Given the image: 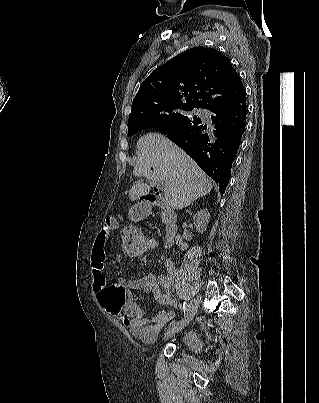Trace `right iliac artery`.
I'll use <instances>...</instances> for the list:
<instances>
[{
	"label": "right iliac artery",
	"mask_w": 319,
	"mask_h": 403,
	"mask_svg": "<svg viewBox=\"0 0 319 403\" xmlns=\"http://www.w3.org/2000/svg\"><path fill=\"white\" fill-rule=\"evenodd\" d=\"M188 308H189L188 304L186 302H184L183 303V312H184V314H186L188 312Z\"/></svg>",
	"instance_id": "82829eb1"
}]
</instances>
